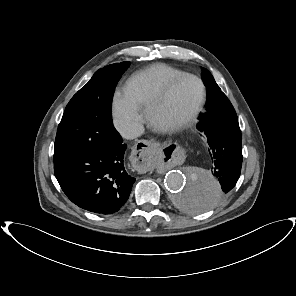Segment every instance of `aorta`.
<instances>
[{"instance_id": "aorta-1", "label": "aorta", "mask_w": 296, "mask_h": 296, "mask_svg": "<svg viewBox=\"0 0 296 296\" xmlns=\"http://www.w3.org/2000/svg\"><path fill=\"white\" fill-rule=\"evenodd\" d=\"M165 186L174 207L185 214L207 212L219 198V182L209 171L195 167L168 172Z\"/></svg>"}]
</instances>
